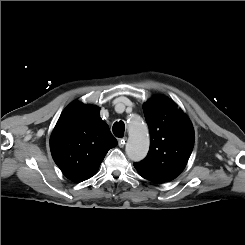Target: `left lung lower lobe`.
I'll use <instances>...</instances> for the list:
<instances>
[{"instance_id": "obj_1", "label": "left lung lower lobe", "mask_w": 245, "mask_h": 245, "mask_svg": "<svg viewBox=\"0 0 245 245\" xmlns=\"http://www.w3.org/2000/svg\"><path fill=\"white\" fill-rule=\"evenodd\" d=\"M143 178H145V179H147V180H149V181H152V182H154V183H158V184H161V183H165V182H162V181H160V180H158V179H152V178H149V177H146L145 175H142V174H140Z\"/></svg>"}]
</instances>
